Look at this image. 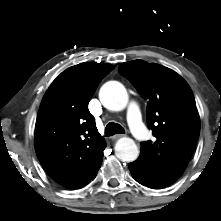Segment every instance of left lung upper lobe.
I'll return each instance as SVG.
<instances>
[{"mask_svg":"<svg viewBox=\"0 0 221 221\" xmlns=\"http://www.w3.org/2000/svg\"><path fill=\"white\" fill-rule=\"evenodd\" d=\"M119 72L148 101L146 119L155 139L141 143L137 162L152 188L170 186L189 163L200 133L192 90L175 71L156 63L134 60L122 63Z\"/></svg>","mask_w":221,"mask_h":221,"instance_id":"5c2ea615","label":"left lung upper lobe"}]
</instances>
